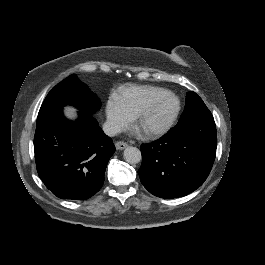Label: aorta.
Masks as SVG:
<instances>
[{"mask_svg":"<svg viewBox=\"0 0 265 265\" xmlns=\"http://www.w3.org/2000/svg\"><path fill=\"white\" fill-rule=\"evenodd\" d=\"M124 159L126 162L130 164H137L141 161V152L138 148L136 147H127L124 150Z\"/></svg>","mask_w":265,"mask_h":265,"instance_id":"762f6f07","label":"aorta"}]
</instances>
